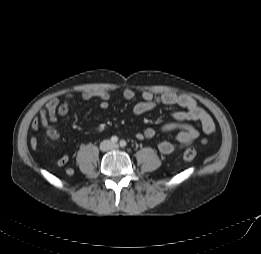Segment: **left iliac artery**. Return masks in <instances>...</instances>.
<instances>
[{
  "label": "left iliac artery",
  "instance_id": "1",
  "mask_svg": "<svg viewBox=\"0 0 261 254\" xmlns=\"http://www.w3.org/2000/svg\"><path fill=\"white\" fill-rule=\"evenodd\" d=\"M119 144L121 147H125L127 143L125 140H121Z\"/></svg>",
  "mask_w": 261,
  "mask_h": 254
}]
</instances>
